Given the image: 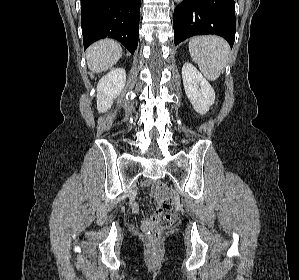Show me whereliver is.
Wrapping results in <instances>:
<instances>
[{
  "instance_id": "1",
  "label": "liver",
  "mask_w": 299,
  "mask_h": 280,
  "mask_svg": "<svg viewBox=\"0 0 299 280\" xmlns=\"http://www.w3.org/2000/svg\"><path fill=\"white\" fill-rule=\"evenodd\" d=\"M122 53L117 42L110 39L100 40L86 50L88 68L93 73L106 71L117 63Z\"/></svg>"
}]
</instances>
